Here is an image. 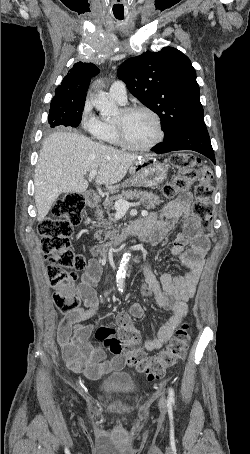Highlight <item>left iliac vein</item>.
Masks as SVG:
<instances>
[{
    "label": "left iliac vein",
    "instance_id": "obj_1",
    "mask_svg": "<svg viewBox=\"0 0 250 454\" xmlns=\"http://www.w3.org/2000/svg\"><path fill=\"white\" fill-rule=\"evenodd\" d=\"M166 399H165V396L162 395L161 398H160V401H159V408L162 412H165L166 411Z\"/></svg>",
    "mask_w": 250,
    "mask_h": 454
}]
</instances>
